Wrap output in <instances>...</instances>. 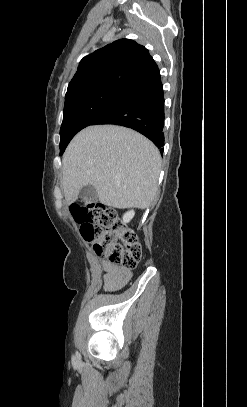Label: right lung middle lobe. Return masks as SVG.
Wrapping results in <instances>:
<instances>
[{
	"label": "right lung middle lobe",
	"mask_w": 247,
	"mask_h": 407,
	"mask_svg": "<svg viewBox=\"0 0 247 407\" xmlns=\"http://www.w3.org/2000/svg\"><path fill=\"white\" fill-rule=\"evenodd\" d=\"M134 91L132 88L123 86L109 87L66 104L60 129V155L75 134L92 125Z\"/></svg>",
	"instance_id": "1"
}]
</instances>
